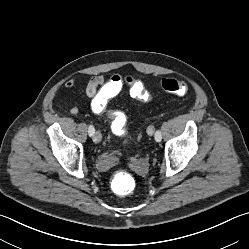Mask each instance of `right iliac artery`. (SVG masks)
<instances>
[{"instance_id":"82829eb1","label":"right iliac artery","mask_w":249,"mask_h":249,"mask_svg":"<svg viewBox=\"0 0 249 249\" xmlns=\"http://www.w3.org/2000/svg\"><path fill=\"white\" fill-rule=\"evenodd\" d=\"M88 133H89V136H93L94 135L95 128L92 125L89 126Z\"/></svg>"}]
</instances>
